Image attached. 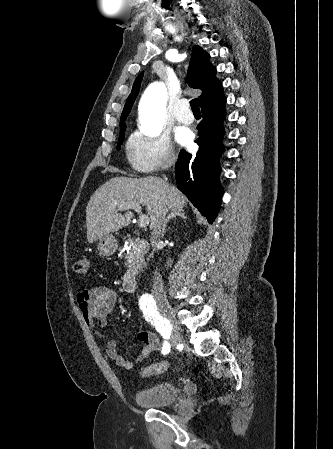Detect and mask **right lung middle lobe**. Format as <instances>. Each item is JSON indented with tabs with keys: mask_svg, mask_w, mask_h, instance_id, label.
I'll return each instance as SVG.
<instances>
[{
	"mask_svg": "<svg viewBox=\"0 0 333 449\" xmlns=\"http://www.w3.org/2000/svg\"><path fill=\"white\" fill-rule=\"evenodd\" d=\"M126 118L124 117V118H121V120H125ZM120 134H119V141H118V145H117V149L119 150L120 149V147H121V144H122V142H123V140H124V135H125V129H126V125H125V123H120Z\"/></svg>",
	"mask_w": 333,
	"mask_h": 449,
	"instance_id": "1",
	"label": "right lung middle lobe"
}]
</instances>
